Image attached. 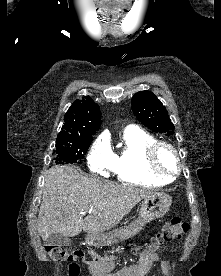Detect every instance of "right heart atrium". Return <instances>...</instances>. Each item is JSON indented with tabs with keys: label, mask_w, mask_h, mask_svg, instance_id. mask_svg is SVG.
Returning <instances> with one entry per match:
<instances>
[{
	"label": "right heart atrium",
	"mask_w": 221,
	"mask_h": 276,
	"mask_svg": "<svg viewBox=\"0 0 221 276\" xmlns=\"http://www.w3.org/2000/svg\"><path fill=\"white\" fill-rule=\"evenodd\" d=\"M87 162L91 170L102 175H106L108 171H112L114 167V154L109 143L99 138L92 146Z\"/></svg>",
	"instance_id": "d8ad5b80"
}]
</instances>
